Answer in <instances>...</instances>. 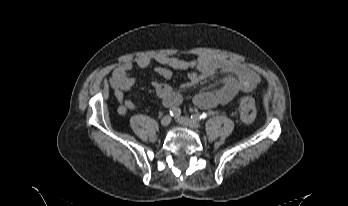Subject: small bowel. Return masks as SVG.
Segmentation results:
<instances>
[{"instance_id": "1", "label": "small bowel", "mask_w": 348, "mask_h": 206, "mask_svg": "<svg viewBox=\"0 0 348 206\" xmlns=\"http://www.w3.org/2000/svg\"><path fill=\"white\" fill-rule=\"evenodd\" d=\"M155 61L158 63L155 72L164 79L172 77L171 69L190 70L188 80L182 84L184 90L194 88L200 81L213 76L217 72L225 71L232 74L222 79L219 89L199 92L193 97L194 104L202 109L228 105L239 91H251L260 82V77L248 66L222 56L204 54L193 61H187L177 57L160 55ZM152 63L153 61L149 57L137 59V65L142 69L151 68ZM135 81L136 78L132 72L130 62L120 64L111 74L109 82L114 96L119 102L118 112L121 115L142 107L141 103L133 102L124 97V92L131 89ZM152 86L164 106L172 108L181 104L182 97L180 93L170 85L153 82Z\"/></svg>"}]
</instances>
